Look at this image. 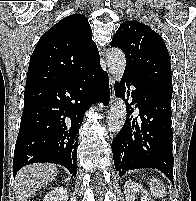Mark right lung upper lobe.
Returning <instances> with one entry per match:
<instances>
[{
  "label": "right lung upper lobe",
  "mask_w": 196,
  "mask_h": 201,
  "mask_svg": "<svg viewBox=\"0 0 196 201\" xmlns=\"http://www.w3.org/2000/svg\"><path fill=\"white\" fill-rule=\"evenodd\" d=\"M99 59L87 18L67 16L39 39L30 58L25 90L72 78Z\"/></svg>",
  "instance_id": "1"
}]
</instances>
